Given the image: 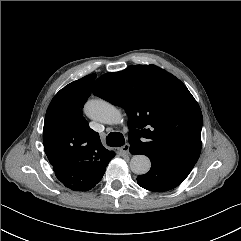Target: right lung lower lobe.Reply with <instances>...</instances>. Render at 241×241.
I'll return each mask as SVG.
<instances>
[{
  "mask_svg": "<svg viewBox=\"0 0 241 241\" xmlns=\"http://www.w3.org/2000/svg\"><path fill=\"white\" fill-rule=\"evenodd\" d=\"M114 157V156H113ZM108 162H62L53 165L56 177L74 191L92 189L103 177Z\"/></svg>",
  "mask_w": 241,
  "mask_h": 241,
  "instance_id": "obj_1",
  "label": "right lung lower lobe"
}]
</instances>
